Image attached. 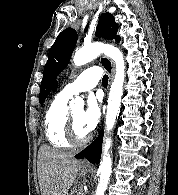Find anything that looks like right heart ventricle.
Wrapping results in <instances>:
<instances>
[{
    "label": "right heart ventricle",
    "mask_w": 178,
    "mask_h": 195,
    "mask_svg": "<svg viewBox=\"0 0 178 195\" xmlns=\"http://www.w3.org/2000/svg\"><path fill=\"white\" fill-rule=\"evenodd\" d=\"M68 100L69 97L58 93L49 104L44 119L46 138L52 146L59 149L71 146L65 137Z\"/></svg>",
    "instance_id": "obj_1"
}]
</instances>
